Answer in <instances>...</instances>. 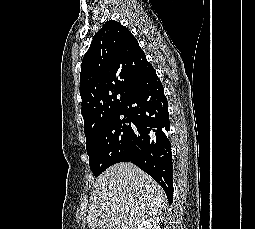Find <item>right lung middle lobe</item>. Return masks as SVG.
Returning a JSON list of instances; mask_svg holds the SVG:
<instances>
[{
	"label": "right lung middle lobe",
	"mask_w": 255,
	"mask_h": 229,
	"mask_svg": "<svg viewBox=\"0 0 255 229\" xmlns=\"http://www.w3.org/2000/svg\"><path fill=\"white\" fill-rule=\"evenodd\" d=\"M124 115V118L121 117ZM119 111L103 122L86 139L89 166L95 176L113 164L124 162L131 156L133 123Z\"/></svg>",
	"instance_id": "dd1d6c3e"
}]
</instances>
